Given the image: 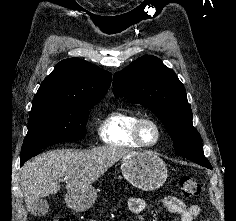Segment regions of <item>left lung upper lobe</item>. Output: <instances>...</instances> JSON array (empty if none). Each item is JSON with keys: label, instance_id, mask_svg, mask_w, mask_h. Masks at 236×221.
<instances>
[{"label": "left lung upper lobe", "instance_id": "obj_1", "mask_svg": "<svg viewBox=\"0 0 236 221\" xmlns=\"http://www.w3.org/2000/svg\"><path fill=\"white\" fill-rule=\"evenodd\" d=\"M113 92L152 110L162 120L180 156L212 169L204 156L201 136L193 127L184 85L159 58L142 56L115 73Z\"/></svg>", "mask_w": 236, "mask_h": 221}]
</instances>
